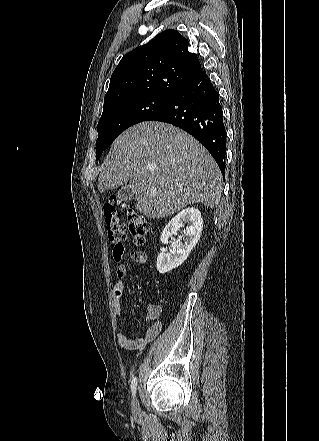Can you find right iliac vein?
<instances>
[{"label": "right iliac vein", "mask_w": 319, "mask_h": 441, "mask_svg": "<svg viewBox=\"0 0 319 441\" xmlns=\"http://www.w3.org/2000/svg\"><path fill=\"white\" fill-rule=\"evenodd\" d=\"M132 409H133L134 415H136V416L140 415L141 409H140L139 402H138L137 398L133 399Z\"/></svg>", "instance_id": "63e3f726"}]
</instances>
